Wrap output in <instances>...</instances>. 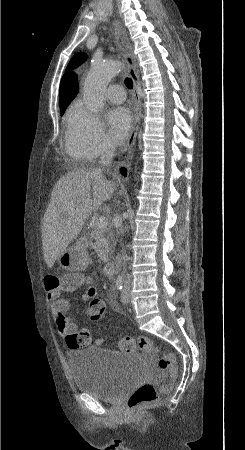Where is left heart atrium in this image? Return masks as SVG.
<instances>
[{
    "instance_id": "39dd6f15",
    "label": "left heart atrium",
    "mask_w": 245,
    "mask_h": 450,
    "mask_svg": "<svg viewBox=\"0 0 245 450\" xmlns=\"http://www.w3.org/2000/svg\"><path fill=\"white\" fill-rule=\"evenodd\" d=\"M107 124L110 137L116 144L122 143L131 128L132 116L126 107H114L107 114Z\"/></svg>"
}]
</instances>
